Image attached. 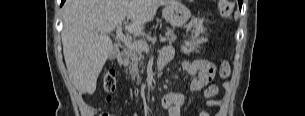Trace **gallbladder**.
Segmentation results:
<instances>
[{
	"instance_id": "gallbladder-1",
	"label": "gallbladder",
	"mask_w": 305,
	"mask_h": 116,
	"mask_svg": "<svg viewBox=\"0 0 305 116\" xmlns=\"http://www.w3.org/2000/svg\"><path fill=\"white\" fill-rule=\"evenodd\" d=\"M115 57V53H111L110 55H109V58L110 59H113Z\"/></svg>"
}]
</instances>
